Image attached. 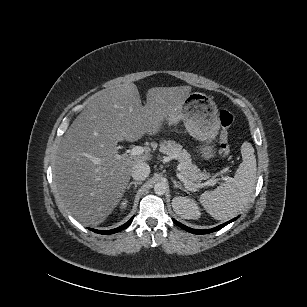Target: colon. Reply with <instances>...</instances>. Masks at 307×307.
Returning a JSON list of instances; mask_svg holds the SVG:
<instances>
[{
	"instance_id": "1",
	"label": "colon",
	"mask_w": 307,
	"mask_h": 307,
	"mask_svg": "<svg viewBox=\"0 0 307 307\" xmlns=\"http://www.w3.org/2000/svg\"><path fill=\"white\" fill-rule=\"evenodd\" d=\"M233 119V115L230 111L222 109L219 112V121L221 125L219 135V152L223 156H227L230 153L229 129L233 123Z\"/></svg>"
}]
</instances>
